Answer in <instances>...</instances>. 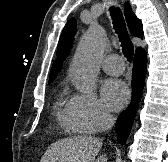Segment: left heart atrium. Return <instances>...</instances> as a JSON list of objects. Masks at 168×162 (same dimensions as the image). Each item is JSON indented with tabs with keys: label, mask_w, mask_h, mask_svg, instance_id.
I'll return each mask as SVG.
<instances>
[{
	"label": "left heart atrium",
	"mask_w": 168,
	"mask_h": 162,
	"mask_svg": "<svg viewBox=\"0 0 168 162\" xmlns=\"http://www.w3.org/2000/svg\"><path fill=\"white\" fill-rule=\"evenodd\" d=\"M102 98L106 107L113 111L122 109L129 100V90L120 80L107 79L101 89Z\"/></svg>",
	"instance_id": "left-heart-atrium-1"
}]
</instances>
